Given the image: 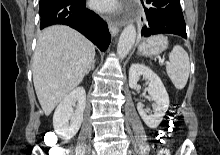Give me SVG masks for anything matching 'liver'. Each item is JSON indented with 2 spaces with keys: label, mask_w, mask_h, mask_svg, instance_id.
<instances>
[{
  "label": "liver",
  "mask_w": 220,
  "mask_h": 155,
  "mask_svg": "<svg viewBox=\"0 0 220 155\" xmlns=\"http://www.w3.org/2000/svg\"><path fill=\"white\" fill-rule=\"evenodd\" d=\"M95 57V46L74 29L55 25L38 37L33 82L46 116L83 80Z\"/></svg>",
  "instance_id": "liver-1"
}]
</instances>
